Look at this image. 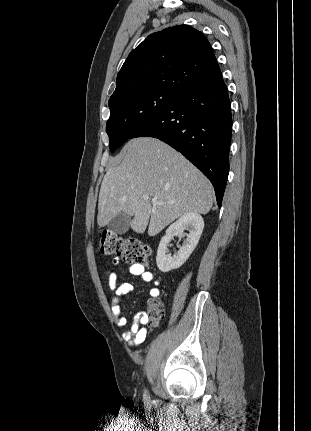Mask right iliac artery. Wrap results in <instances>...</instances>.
Returning <instances> with one entry per match:
<instances>
[{"instance_id": "1", "label": "right iliac artery", "mask_w": 311, "mask_h": 431, "mask_svg": "<svg viewBox=\"0 0 311 431\" xmlns=\"http://www.w3.org/2000/svg\"><path fill=\"white\" fill-rule=\"evenodd\" d=\"M143 397H144V399H148V393H147V391L144 392Z\"/></svg>"}]
</instances>
